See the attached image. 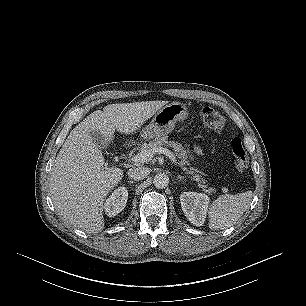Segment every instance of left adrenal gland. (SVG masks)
<instances>
[{
  "mask_svg": "<svg viewBox=\"0 0 306 306\" xmlns=\"http://www.w3.org/2000/svg\"><path fill=\"white\" fill-rule=\"evenodd\" d=\"M177 180H179V181L184 180V177L181 176V175H178V176H177Z\"/></svg>",
  "mask_w": 306,
  "mask_h": 306,
  "instance_id": "left-adrenal-gland-1",
  "label": "left adrenal gland"
}]
</instances>
